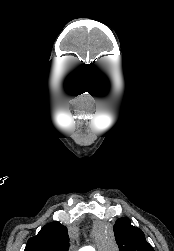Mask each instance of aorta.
<instances>
[{
    "mask_svg": "<svg viewBox=\"0 0 174 251\" xmlns=\"http://www.w3.org/2000/svg\"><path fill=\"white\" fill-rule=\"evenodd\" d=\"M105 234H106L107 249L109 251H111L113 249V246H114L113 234L108 229H106ZM79 251H95V249L90 247V246H86V247L81 248Z\"/></svg>",
    "mask_w": 174,
    "mask_h": 251,
    "instance_id": "obj_1",
    "label": "aorta"
}]
</instances>
